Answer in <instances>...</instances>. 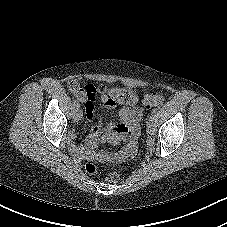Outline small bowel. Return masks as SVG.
<instances>
[{"mask_svg": "<svg viewBox=\"0 0 227 227\" xmlns=\"http://www.w3.org/2000/svg\"><path fill=\"white\" fill-rule=\"evenodd\" d=\"M93 88L94 86L89 85L74 92L76 98L84 103L87 118L93 122V127L86 139L85 146L74 142L76 133L72 132L70 134V149L74 155L87 160L119 161L127 159L136 151L139 121L142 117L141 109L136 106L137 96L132 93L131 102L123 104L119 109L116 122H111L103 127L101 122L96 121L94 115L96 94L91 92ZM100 101L108 109H113L117 105L107 93L101 94ZM100 141H107L114 145L124 142L125 145L116 153L97 151L96 147Z\"/></svg>", "mask_w": 227, "mask_h": 227, "instance_id": "1", "label": "small bowel"}]
</instances>
